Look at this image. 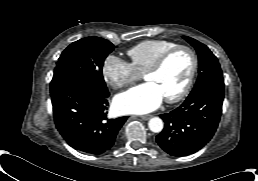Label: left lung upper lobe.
Here are the masks:
<instances>
[{
  "instance_id": "1",
  "label": "left lung upper lobe",
  "mask_w": 258,
  "mask_h": 181,
  "mask_svg": "<svg viewBox=\"0 0 258 181\" xmlns=\"http://www.w3.org/2000/svg\"><path fill=\"white\" fill-rule=\"evenodd\" d=\"M197 51L199 58V76L188 97L195 96L209 88L224 89V80L219 62L208 47L199 41L183 36Z\"/></svg>"
}]
</instances>
